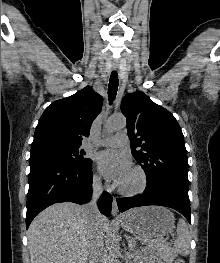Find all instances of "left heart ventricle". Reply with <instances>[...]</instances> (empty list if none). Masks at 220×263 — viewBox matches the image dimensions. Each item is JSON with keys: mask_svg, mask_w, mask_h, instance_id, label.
Segmentation results:
<instances>
[{"mask_svg": "<svg viewBox=\"0 0 220 263\" xmlns=\"http://www.w3.org/2000/svg\"><path fill=\"white\" fill-rule=\"evenodd\" d=\"M138 185H139V176L136 172L131 170L130 173L121 182L119 186L126 188V189H132V188L137 187Z\"/></svg>", "mask_w": 220, "mask_h": 263, "instance_id": "b2bd125f", "label": "left heart ventricle"}]
</instances>
